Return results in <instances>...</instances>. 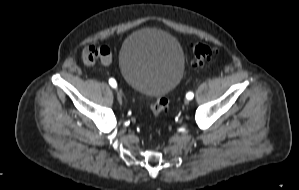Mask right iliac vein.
<instances>
[{"label":"right iliac vein","instance_id":"obj_1","mask_svg":"<svg viewBox=\"0 0 299 190\" xmlns=\"http://www.w3.org/2000/svg\"><path fill=\"white\" fill-rule=\"evenodd\" d=\"M117 98H118V101L121 103L122 102V96L120 93H117Z\"/></svg>","mask_w":299,"mask_h":190}]
</instances>
